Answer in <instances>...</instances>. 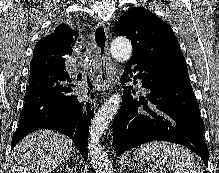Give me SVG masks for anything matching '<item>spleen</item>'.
Returning a JSON list of instances; mask_svg holds the SVG:
<instances>
[{"mask_svg": "<svg viewBox=\"0 0 219 173\" xmlns=\"http://www.w3.org/2000/svg\"><path fill=\"white\" fill-rule=\"evenodd\" d=\"M135 161L151 159L155 166L144 170L143 173H203L194 156L180 145L166 141H152L142 144L134 153Z\"/></svg>", "mask_w": 219, "mask_h": 173, "instance_id": "obj_1", "label": "spleen"}]
</instances>
